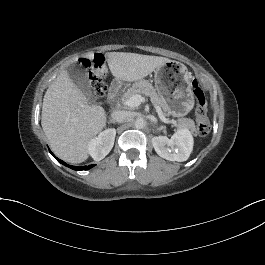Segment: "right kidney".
<instances>
[{
	"instance_id": "1",
	"label": "right kidney",
	"mask_w": 265,
	"mask_h": 265,
	"mask_svg": "<svg viewBox=\"0 0 265 265\" xmlns=\"http://www.w3.org/2000/svg\"><path fill=\"white\" fill-rule=\"evenodd\" d=\"M115 136L116 130L108 129L90 142L89 151L96 161L102 160L109 154L114 146Z\"/></svg>"
}]
</instances>
